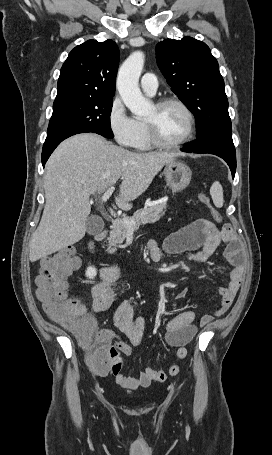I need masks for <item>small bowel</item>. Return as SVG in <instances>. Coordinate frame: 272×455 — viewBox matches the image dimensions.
<instances>
[{"instance_id":"obj_1","label":"small bowel","mask_w":272,"mask_h":455,"mask_svg":"<svg viewBox=\"0 0 272 455\" xmlns=\"http://www.w3.org/2000/svg\"><path fill=\"white\" fill-rule=\"evenodd\" d=\"M227 243L225 257L232 266L230 281L228 285L221 286L218 293L221 296L219 308L215 311L216 316L223 315L231 306L233 299L238 292L243 276L244 265L241 259L240 247L236 236L229 225L218 229L215 224L207 219H197L181 229L169 234L162 246H158L155 240H149L147 247L151 258L158 261L163 252L168 254L183 255L188 262L205 263L214 254L219 245ZM120 276L118 265L111 264L102 268L99 281L92 287L93 309L95 312L108 310L115 301L116 292L114 284ZM188 289L183 288L176 295V299L185 298ZM213 319V316H204L201 319V326L206 325ZM195 313L191 310H184L171 318L165 325V340L177 348L176 356L179 359L185 358L184 351L187 353L186 345L191 342L197 332L194 324ZM114 323L119 332L124 334V340L116 332L103 329L97 333V337L107 344H113L115 348L129 355L132 348L139 345L146 329V322L143 317L136 316L132 304L128 301L121 302L114 313ZM180 367L177 364L171 365L168 372L147 368L137 376L131 377L112 369L100 371L105 375L112 372L116 382L129 389L147 387L153 381L163 382L167 377L175 376L179 373Z\"/></svg>"}]
</instances>
